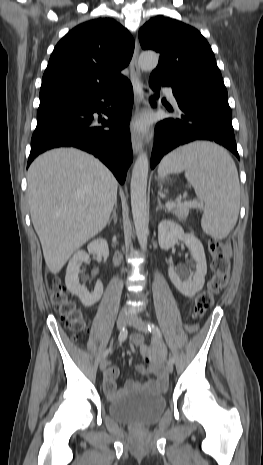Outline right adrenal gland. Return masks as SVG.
<instances>
[{
  "instance_id": "1",
  "label": "right adrenal gland",
  "mask_w": 263,
  "mask_h": 465,
  "mask_svg": "<svg viewBox=\"0 0 263 465\" xmlns=\"http://www.w3.org/2000/svg\"><path fill=\"white\" fill-rule=\"evenodd\" d=\"M116 207H117V202H115L112 215H111L110 219L108 220V224H110L112 220L114 221V224L117 223Z\"/></svg>"
}]
</instances>
